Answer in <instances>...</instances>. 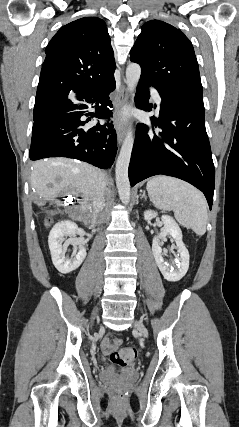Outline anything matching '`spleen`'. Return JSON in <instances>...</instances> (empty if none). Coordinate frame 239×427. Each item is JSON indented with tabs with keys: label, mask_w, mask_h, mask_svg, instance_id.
<instances>
[{
	"label": "spleen",
	"mask_w": 239,
	"mask_h": 427,
	"mask_svg": "<svg viewBox=\"0 0 239 427\" xmlns=\"http://www.w3.org/2000/svg\"><path fill=\"white\" fill-rule=\"evenodd\" d=\"M151 202L159 209L173 210L176 220L202 236L206 232L207 203L190 184L169 176H155L147 182Z\"/></svg>",
	"instance_id": "obj_1"
}]
</instances>
